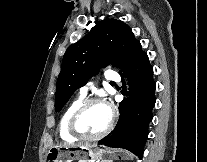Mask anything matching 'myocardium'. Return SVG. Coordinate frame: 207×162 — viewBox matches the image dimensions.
<instances>
[{
	"instance_id": "obj_1",
	"label": "myocardium",
	"mask_w": 207,
	"mask_h": 162,
	"mask_svg": "<svg viewBox=\"0 0 207 162\" xmlns=\"http://www.w3.org/2000/svg\"><path fill=\"white\" fill-rule=\"evenodd\" d=\"M94 104H103L106 105L109 109L110 112V119L109 122L107 124V126L105 127V129L100 132L99 134H95V135H87L86 133L82 132L79 127V120L81 118V116L83 115V113L92 105ZM114 120H115V112L114 110L108 106L102 99L100 98H89L84 100L72 113V115L69 118V122H68V131L69 133L79 139H84V140H97V139H101L104 136H106L112 129L113 124H114Z\"/></svg>"
}]
</instances>
